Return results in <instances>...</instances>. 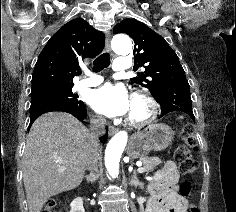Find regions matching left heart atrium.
<instances>
[{
    "instance_id": "obj_1",
    "label": "left heart atrium",
    "mask_w": 236,
    "mask_h": 212,
    "mask_svg": "<svg viewBox=\"0 0 236 212\" xmlns=\"http://www.w3.org/2000/svg\"><path fill=\"white\" fill-rule=\"evenodd\" d=\"M88 102L95 111L107 117L124 116L130 112L132 105L126 88L110 83L92 91Z\"/></svg>"
}]
</instances>
